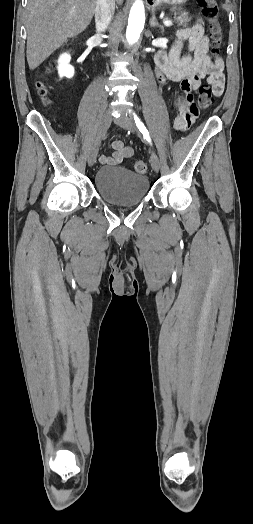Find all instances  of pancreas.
Listing matches in <instances>:
<instances>
[{
  "mask_svg": "<svg viewBox=\"0 0 253 524\" xmlns=\"http://www.w3.org/2000/svg\"><path fill=\"white\" fill-rule=\"evenodd\" d=\"M171 11L175 13L177 26L186 27L188 25V23L191 21V17H189L187 15V13H181L176 8H172ZM176 15H177V17H176Z\"/></svg>",
  "mask_w": 253,
  "mask_h": 524,
  "instance_id": "1",
  "label": "pancreas"
}]
</instances>
